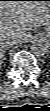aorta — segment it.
<instances>
[{
    "mask_svg": "<svg viewBox=\"0 0 50 111\" xmlns=\"http://www.w3.org/2000/svg\"><path fill=\"white\" fill-rule=\"evenodd\" d=\"M30 49L36 55H44L46 46L39 40H33Z\"/></svg>",
    "mask_w": 50,
    "mask_h": 111,
    "instance_id": "1",
    "label": "aorta"
}]
</instances>
